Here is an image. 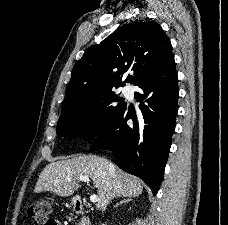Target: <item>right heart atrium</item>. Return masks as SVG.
Returning a JSON list of instances; mask_svg holds the SVG:
<instances>
[{"label":"right heart atrium","mask_w":228,"mask_h":225,"mask_svg":"<svg viewBox=\"0 0 228 225\" xmlns=\"http://www.w3.org/2000/svg\"><path fill=\"white\" fill-rule=\"evenodd\" d=\"M92 124L98 125L100 123V117L97 114H93L90 118Z\"/></svg>","instance_id":"right-heart-atrium-1"}]
</instances>
